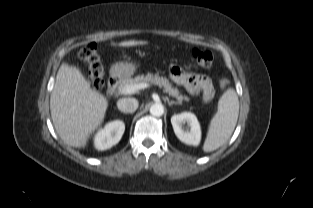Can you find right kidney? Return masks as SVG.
Masks as SVG:
<instances>
[{"instance_id": "1", "label": "right kidney", "mask_w": 313, "mask_h": 208, "mask_svg": "<svg viewBox=\"0 0 313 208\" xmlns=\"http://www.w3.org/2000/svg\"><path fill=\"white\" fill-rule=\"evenodd\" d=\"M125 131V124L121 120H115L100 129L94 138L95 148L98 150H107L116 145L122 138Z\"/></svg>"}]
</instances>
